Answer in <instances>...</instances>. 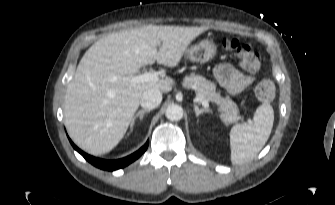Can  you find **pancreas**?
<instances>
[{
    "instance_id": "pancreas-1",
    "label": "pancreas",
    "mask_w": 335,
    "mask_h": 205,
    "mask_svg": "<svg viewBox=\"0 0 335 205\" xmlns=\"http://www.w3.org/2000/svg\"><path fill=\"white\" fill-rule=\"evenodd\" d=\"M182 85L187 89H194L197 94L203 96L207 101L217 104L218 111L222 113L221 117L225 124L239 121V110L236 103L229 96L221 97L220 93L216 92L215 83L206 80L203 76L191 73L183 79Z\"/></svg>"
}]
</instances>
